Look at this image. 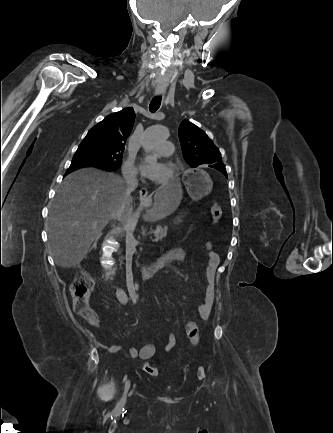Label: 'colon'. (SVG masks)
<instances>
[{"label":"colon","instance_id":"obj_1","mask_svg":"<svg viewBox=\"0 0 333 433\" xmlns=\"http://www.w3.org/2000/svg\"><path fill=\"white\" fill-rule=\"evenodd\" d=\"M210 213L213 221L218 222L222 216L221 206L218 203H214L210 209ZM93 288V278L87 273H82L74 279L70 289L74 301L75 312L82 318L89 321H93L95 319V316L89 307V298ZM175 302H179V299H175ZM178 306H181V303H178ZM179 313L183 316L184 322H186V324H190V319L185 315V310L182 309ZM198 328L199 327L196 325L189 333L190 340L195 345L198 343L200 336ZM143 370L152 376H156L158 374V369L147 362L143 364Z\"/></svg>","mask_w":333,"mask_h":433}]
</instances>
